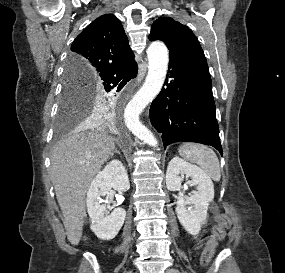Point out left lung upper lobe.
I'll return each mask as SVG.
<instances>
[{"instance_id":"obj_1","label":"left lung upper lobe","mask_w":285,"mask_h":273,"mask_svg":"<svg viewBox=\"0 0 285 273\" xmlns=\"http://www.w3.org/2000/svg\"><path fill=\"white\" fill-rule=\"evenodd\" d=\"M149 39L163 41L170 51V56L180 59L198 71L209 74L206 57L199 41L186 25L170 17H160L153 23Z\"/></svg>"}]
</instances>
